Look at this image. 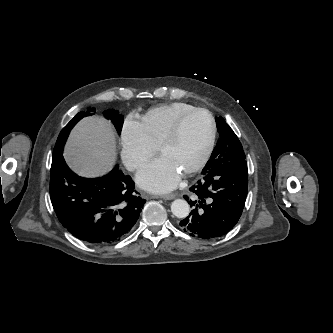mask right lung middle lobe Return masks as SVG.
<instances>
[{
	"label": "right lung middle lobe",
	"mask_w": 333,
	"mask_h": 333,
	"mask_svg": "<svg viewBox=\"0 0 333 333\" xmlns=\"http://www.w3.org/2000/svg\"><path fill=\"white\" fill-rule=\"evenodd\" d=\"M91 111H93L91 109ZM88 112H79L60 132L57 142L54 147L53 155L62 153L64 144L69 135L70 130L75 126V124L85 116H89ZM106 118L110 119L116 127L118 134H120L123 126V117L115 110H107L104 112Z\"/></svg>",
	"instance_id": "dd1d6c3e"
}]
</instances>
